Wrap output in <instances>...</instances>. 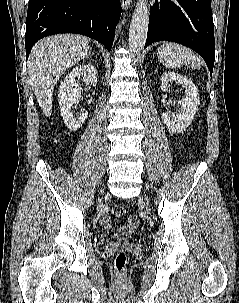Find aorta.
<instances>
[{
    "instance_id": "obj_1",
    "label": "aorta",
    "mask_w": 239,
    "mask_h": 303,
    "mask_svg": "<svg viewBox=\"0 0 239 303\" xmlns=\"http://www.w3.org/2000/svg\"><path fill=\"white\" fill-rule=\"evenodd\" d=\"M149 24V10L146 0H139L132 15L129 29V48L139 53L146 43Z\"/></svg>"
}]
</instances>
